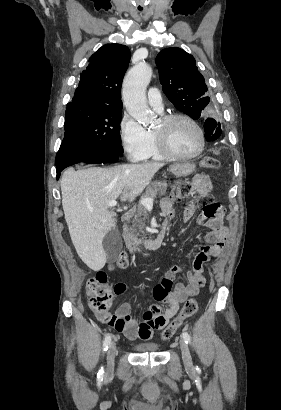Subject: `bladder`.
<instances>
[{
  "mask_svg": "<svg viewBox=\"0 0 281 410\" xmlns=\"http://www.w3.org/2000/svg\"><path fill=\"white\" fill-rule=\"evenodd\" d=\"M133 349L139 354H150L159 352L161 347L156 343H139L135 344Z\"/></svg>",
  "mask_w": 281,
  "mask_h": 410,
  "instance_id": "1",
  "label": "bladder"
}]
</instances>
